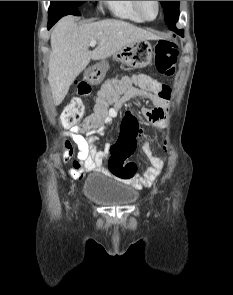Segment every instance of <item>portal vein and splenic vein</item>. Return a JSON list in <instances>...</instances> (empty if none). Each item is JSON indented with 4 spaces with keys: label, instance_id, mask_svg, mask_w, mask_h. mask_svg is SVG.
I'll return each mask as SVG.
<instances>
[{
    "label": "portal vein and splenic vein",
    "instance_id": "obj_1",
    "mask_svg": "<svg viewBox=\"0 0 233 295\" xmlns=\"http://www.w3.org/2000/svg\"><path fill=\"white\" fill-rule=\"evenodd\" d=\"M96 41L95 40H92L90 43H89V46H91V47H94L95 45H96Z\"/></svg>",
    "mask_w": 233,
    "mask_h": 295
}]
</instances>
